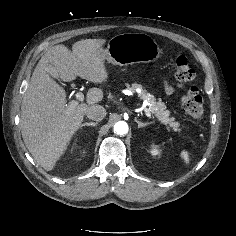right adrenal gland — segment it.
Segmentation results:
<instances>
[{
    "mask_svg": "<svg viewBox=\"0 0 236 236\" xmlns=\"http://www.w3.org/2000/svg\"><path fill=\"white\" fill-rule=\"evenodd\" d=\"M98 124V122H85L83 124H81V128L84 127V126H93L95 127L96 125Z\"/></svg>",
    "mask_w": 236,
    "mask_h": 236,
    "instance_id": "1",
    "label": "right adrenal gland"
}]
</instances>
